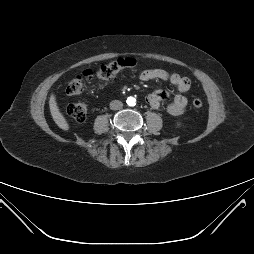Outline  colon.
<instances>
[{"label":"colon","instance_id":"obj_1","mask_svg":"<svg viewBox=\"0 0 254 254\" xmlns=\"http://www.w3.org/2000/svg\"><path fill=\"white\" fill-rule=\"evenodd\" d=\"M137 66V61L134 59H119L102 65L96 72L85 70L81 75L74 77L67 85L66 92L69 95H80L85 87V80L96 77L102 81L112 79L119 71L123 69H133ZM192 105L196 109L203 106L201 99H194ZM67 113L70 117L78 122H83L88 113V104L85 101L70 103L67 106Z\"/></svg>","mask_w":254,"mask_h":254}]
</instances>
